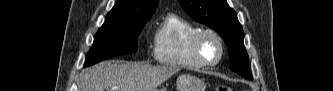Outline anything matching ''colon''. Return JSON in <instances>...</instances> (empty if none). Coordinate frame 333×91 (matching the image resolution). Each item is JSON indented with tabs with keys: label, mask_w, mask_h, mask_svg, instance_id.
<instances>
[{
	"label": "colon",
	"mask_w": 333,
	"mask_h": 91,
	"mask_svg": "<svg viewBox=\"0 0 333 91\" xmlns=\"http://www.w3.org/2000/svg\"><path fill=\"white\" fill-rule=\"evenodd\" d=\"M216 91H231V89L226 85H218Z\"/></svg>",
	"instance_id": "5ec220e1"
}]
</instances>
